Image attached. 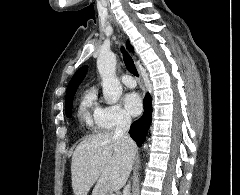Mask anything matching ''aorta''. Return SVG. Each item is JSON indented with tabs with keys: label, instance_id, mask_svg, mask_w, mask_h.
<instances>
[{
	"label": "aorta",
	"instance_id": "1",
	"mask_svg": "<svg viewBox=\"0 0 240 195\" xmlns=\"http://www.w3.org/2000/svg\"><path fill=\"white\" fill-rule=\"evenodd\" d=\"M97 70L102 80L103 96L107 103H116L122 96V86L116 76V56L103 52L97 58Z\"/></svg>",
	"mask_w": 240,
	"mask_h": 195
}]
</instances>
